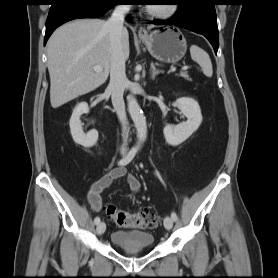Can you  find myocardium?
<instances>
[{"instance_id": "1", "label": "myocardium", "mask_w": 278, "mask_h": 278, "mask_svg": "<svg viewBox=\"0 0 278 278\" xmlns=\"http://www.w3.org/2000/svg\"><path fill=\"white\" fill-rule=\"evenodd\" d=\"M178 8L179 6L176 3H171L165 9L157 10L151 7H147L146 11L150 16L154 18L169 19L177 13Z\"/></svg>"}]
</instances>
